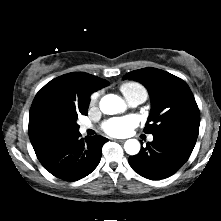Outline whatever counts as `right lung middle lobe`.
Returning a JSON list of instances; mask_svg holds the SVG:
<instances>
[{
  "label": "right lung middle lobe",
  "mask_w": 221,
  "mask_h": 221,
  "mask_svg": "<svg viewBox=\"0 0 221 221\" xmlns=\"http://www.w3.org/2000/svg\"><path fill=\"white\" fill-rule=\"evenodd\" d=\"M77 117H78V116H75V117H74V120H76V119H77Z\"/></svg>",
  "instance_id": "1"
}]
</instances>
